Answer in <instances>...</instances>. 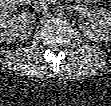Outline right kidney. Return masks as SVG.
<instances>
[{
  "instance_id": "right-kidney-1",
  "label": "right kidney",
  "mask_w": 111,
  "mask_h": 106,
  "mask_svg": "<svg viewBox=\"0 0 111 106\" xmlns=\"http://www.w3.org/2000/svg\"><path fill=\"white\" fill-rule=\"evenodd\" d=\"M36 24V18L29 12L14 15L4 23L2 36L7 42H19L29 37Z\"/></svg>"
}]
</instances>
